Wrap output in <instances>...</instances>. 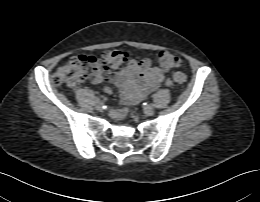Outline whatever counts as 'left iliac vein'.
<instances>
[{
	"instance_id": "4c4485c4",
	"label": "left iliac vein",
	"mask_w": 260,
	"mask_h": 202,
	"mask_svg": "<svg viewBox=\"0 0 260 202\" xmlns=\"http://www.w3.org/2000/svg\"><path fill=\"white\" fill-rule=\"evenodd\" d=\"M143 111L145 115L152 116L154 114L153 105L144 106Z\"/></svg>"
}]
</instances>
